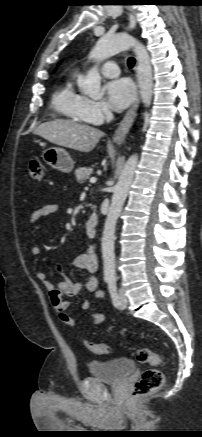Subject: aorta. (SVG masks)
<instances>
[{"label": "aorta", "instance_id": "aorta-1", "mask_svg": "<svg viewBox=\"0 0 202 437\" xmlns=\"http://www.w3.org/2000/svg\"><path fill=\"white\" fill-rule=\"evenodd\" d=\"M131 47L134 48L138 61L137 78L141 99L143 104L149 107L153 96V77L150 56L145 46L127 33H119L116 35L106 34L98 40L90 53V58L97 64L89 70L85 78L79 79L78 86L80 90L93 99H100L103 96V92L101 91V77L98 71L99 62ZM137 163V154L128 158L113 190L101 244L105 277L115 276V228L133 182Z\"/></svg>", "mask_w": 202, "mask_h": 437}]
</instances>
